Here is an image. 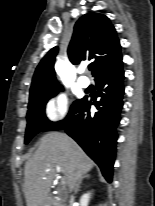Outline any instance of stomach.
Returning <instances> with one entry per match:
<instances>
[{
  "label": "stomach",
  "instance_id": "1",
  "mask_svg": "<svg viewBox=\"0 0 155 206\" xmlns=\"http://www.w3.org/2000/svg\"><path fill=\"white\" fill-rule=\"evenodd\" d=\"M41 206H49V204L44 202V203L41 204Z\"/></svg>",
  "mask_w": 155,
  "mask_h": 206
}]
</instances>
